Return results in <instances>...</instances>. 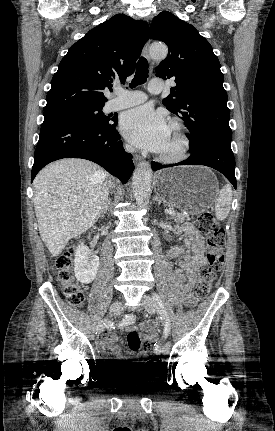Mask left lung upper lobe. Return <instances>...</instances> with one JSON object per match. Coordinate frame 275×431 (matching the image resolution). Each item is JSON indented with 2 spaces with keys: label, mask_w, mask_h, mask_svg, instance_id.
Returning a JSON list of instances; mask_svg holds the SVG:
<instances>
[{
  "label": "left lung upper lobe",
  "mask_w": 275,
  "mask_h": 431,
  "mask_svg": "<svg viewBox=\"0 0 275 431\" xmlns=\"http://www.w3.org/2000/svg\"><path fill=\"white\" fill-rule=\"evenodd\" d=\"M150 35L168 45V56L156 67V76L175 79L176 86L163 104L186 123L189 147L205 141L231 142L224 77L209 42L170 12L154 17Z\"/></svg>",
  "instance_id": "left-lung-upper-lobe-1"
}]
</instances>
